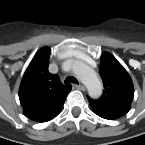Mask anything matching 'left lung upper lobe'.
Returning <instances> with one entry per match:
<instances>
[{"mask_svg": "<svg viewBox=\"0 0 145 145\" xmlns=\"http://www.w3.org/2000/svg\"><path fill=\"white\" fill-rule=\"evenodd\" d=\"M104 83V93L99 100L88 98L93 111L108 120L126 114L134 96V87L129 74L109 53H103L99 67Z\"/></svg>", "mask_w": 145, "mask_h": 145, "instance_id": "left-lung-upper-lobe-1", "label": "left lung upper lobe"}]
</instances>
